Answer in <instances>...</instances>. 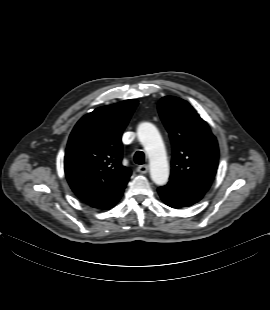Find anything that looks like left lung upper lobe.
<instances>
[{"instance_id": "obj_1", "label": "left lung upper lobe", "mask_w": 270, "mask_h": 310, "mask_svg": "<svg viewBox=\"0 0 270 310\" xmlns=\"http://www.w3.org/2000/svg\"><path fill=\"white\" fill-rule=\"evenodd\" d=\"M158 110L172 141L170 181L209 189L217 172L219 150L208 124L177 97H163Z\"/></svg>"}]
</instances>
